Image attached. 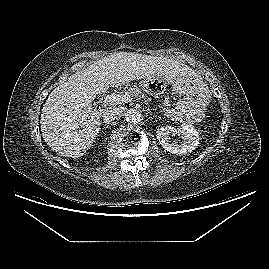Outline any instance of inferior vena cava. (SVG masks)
Returning <instances> with one entry per match:
<instances>
[{"label": "inferior vena cava", "mask_w": 269, "mask_h": 269, "mask_svg": "<svg viewBox=\"0 0 269 269\" xmlns=\"http://www.w3.org/2000/svg\"><path fill=\"white\" fill-rule=\"evenodd\" d=\"M123 108L118 106H113L105 109L103 111V121L106 124L114 123V121L122 115Z\"/></svg>", "instance_id": "obj_1"}]
</instances>
